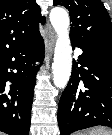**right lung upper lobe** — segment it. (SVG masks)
<instances>
[{
    "instance_id": "cb5924a9",
    "label": "right lung upper lobe",
    "mask_w": 112,
    "mask_h": 135,
    "mask_svg": "<svg viewBox=\"0 0 112 135\" xmlns=\"http://www.w3.org/2000/svg\"><path fill=\"white\" fill-rule=\"evenodd\" d=\"M44 23L36 0H0V57L40 35Z\"/></svg>"
}]
</instances>
